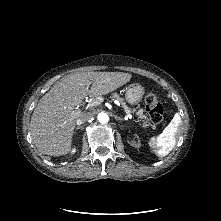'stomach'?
<instances>
[{"instance_id":"1","label":"stomach","mask_w":221,"mask_h":221,"mask_svg":"<svg viewBox=\"0 0 221 221\" xmlns=\"http://www.w3.org/2000/svg\"><path fill=\"white\" fill-rule=\"evenodd\" d=\"M144 93V88L140 84H130L125 88L126 101L131 105H136L142 100Z\"/></svg>"}]
</instances>
